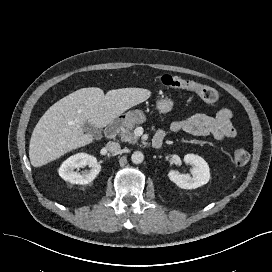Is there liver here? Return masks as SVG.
I'll use <instances>...</instances> for the list:
<instances>
[{
  "mask_svg": "<svg viewBox=\"0 0 272 272\" xmlns=\"http://www.w3.org/2000/svg\"><path fill=\"white\" fill-rule=\"evenodd\" d=\"M150 96L151 91L143 88L115 89L104 94L97 87L82 88L65 96L44 113L33 130L29 145L32 166H43L90 144L93 135L84 133L86 122L104 128Z\"/></svg>",
  "mask_w": 272,
  "mask_h": 272,
  "instance_id": "1",
  "label": "liver"
}]
</instances>
